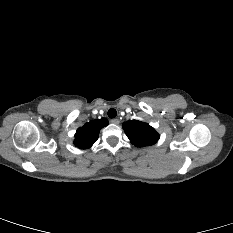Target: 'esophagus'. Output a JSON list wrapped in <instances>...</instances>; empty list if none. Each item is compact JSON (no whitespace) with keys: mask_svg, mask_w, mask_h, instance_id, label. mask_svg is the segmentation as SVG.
<instances>
[{"mask_svg":"<svg viewBox=\"0 0 233 233\" xmlns=\"http://www.w3.org/2000/svg\"><path fill=\"white\" fill-rule=\"evenodd\" d=\"M113 124H119L120 120L118 118L111 119Z\"/></svg>","mask_w":233,"mask_h":233,"instance_id":"34e87169","label":"esophagus"}]
</instances>
